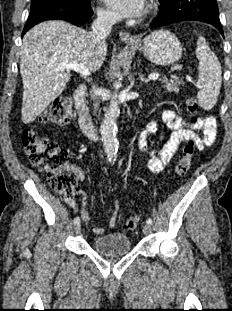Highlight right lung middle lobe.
<instances>
[{
  "mask_svg": "<svg viewBox=\"0 0 232 311\" xmlns=\"http://www.w3.org/2000/svg\"><path fill=\"white\" fill-rule=\"evenodd\" d=\"M44 1H50V0H32V5L44 2ZM56 1H63V2H70L73 4H76L81 7H89L90 6V0H56Z\"/></svg>",
  "mask_w": 232,
  "mask_h": 311,
  "instance_id": "1",
  "label": "right lung middle lobe"
}]
</instances>
